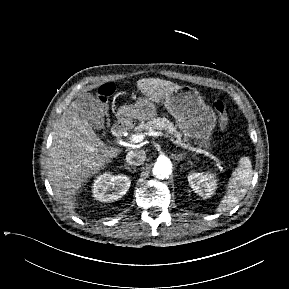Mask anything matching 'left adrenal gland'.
<instances>
[{
  "instance_id": "a2214340",
  "label": "left adrenal gland",
  "mask_w": 289,
  "mask_h": 289,
  "mask_svg": "<svg viewBox=\"0 0 289 289\" xmlns=\"http://www.w3.org/2000/svg\"><path fill=\"white\" fill-rule=\"evenodd\" d=\"M182 154H179V155H177L176 157H175V159L177 160V161H180V160H182Z\"/></svg>"
}]
</instances>
